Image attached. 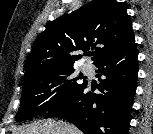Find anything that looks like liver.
Masks as SVG:
<instances>
[{
	"instance_id": "6515ba94",
	"label": "liver",
	"mask_w": 153,
	"mask_h": 134,
	"mask_svg": "<svg viewBox=\"0 0 153 134\" xmlns=\"http://www.w3.org/2000/svg\"><path fill=\"white\" fill-rule=\"evenodd\" d=\"M13 134H81V132L74 125L50 119L15 130Z\"/></svg>"
}]
</instances>
